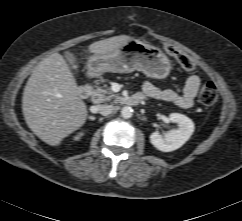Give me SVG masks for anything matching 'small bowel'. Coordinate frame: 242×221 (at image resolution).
<instances>
[{
    "label": "small bowel",
    "mask_w": 242,
    "mask_h": 221,
    "mask_svg": "<svg viewBox=\"0 0 242 221\" xmlns=\"http://www.w3.org/2000/svg\"><path fill=\"white\" fill-rule=\"evenodd\" d=\"M201 84L199 76L192 74L186 77L181 93L173 89H162L151 82H145L140 97L171 103L183 109H189L193 106Z\"/></svg>",
    "instance_id": "c3829d8e"
}]
</instances>
